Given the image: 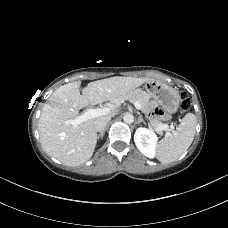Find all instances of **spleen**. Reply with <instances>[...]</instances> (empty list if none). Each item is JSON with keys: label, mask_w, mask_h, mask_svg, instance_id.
I'll use <instances>...</instances> for the list:
<instances>
[{"label": "spleen", "mask_w": 228, "mask_h": 228, "mask_svg": "<svg viewBox=\"0 0 228 228\" xmlns=\"http://www.w3.org/2000/svg\"><path fill=\"white\" fill-rule=\"evenodd\" d=\"M196 133V116L187 113L169 137L163 138L157 146V159L162 164L177 160L191 145Z\"/></svg>", "instance_id": "1"}]
</instances>
